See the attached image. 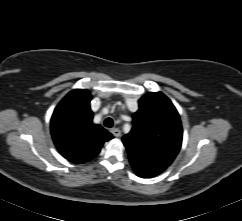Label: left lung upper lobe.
<instances>
[{
    "instance_id": "obj_1",
    "label": "left lung upper lobe",
    "mask_w": 242,
    "mask_h": 221,
    "mask_svg": "<svg viewBox=\"0 0 242 221\" xmlns=\"http://www.w3.org/2000/svg\"><path fill=\"white\" fill-rule=\"evenodd\" d=\"M133 128L122 141L129 157L168 167L182 143V126L172 102L161 92L146 94L133 114Z\"/></svg>"
}]
</instances>
